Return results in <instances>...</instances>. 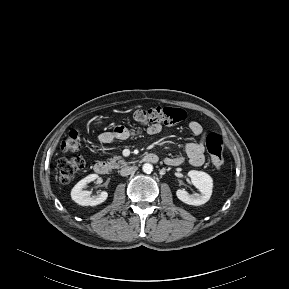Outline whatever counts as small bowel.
<instances>
[{
    "label": "small bowel",
    "instance_id": "1",
    "mask_svg": "<svg viewBox=\"0 0 289 289\" xmlns=\"http://www.w3.org/2000/svg\"><path fill=\"white\" fill-rule=\"evenodd\" d=\"M189 131L194 135L198 136L199 139L196 142L187 143L184 146V151L189 159L191 165L199 167L204 164L205 156L204 152L206 149V137L207 133L203 126L197 121H191L189 123ZM162 127L160 124L153 123L149 124L145 132L149 135H155L160 133ZM140 130H130L124 126H117L113 131L103 132L98 137V142L101 145L109 144L115 140H126L132 136L140 134ZM183 158L181 156L167 157L165 163L171 166L181 164Z\"/></svg>",
    "mask_w": 289,
    "mask_h": 289
}]
</instances>
